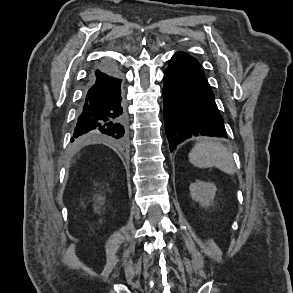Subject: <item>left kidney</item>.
<instances>
[{"label": "left kidney", "mask_w": 293, "mask_h": 293, "mask_svg": "<svg viewBox=\"0 0 293 293\" xmlns=\"http://www.w3.org/2000/svg\"><path fill=\"white\" fill-rule=\"evenodd\" d=\"M190 195L193 200L201 206H210L216 195L217 187L212 182L196 181L189 186Z\"/></svg>", "instance_id": "5707ae66"}]
</instances>
